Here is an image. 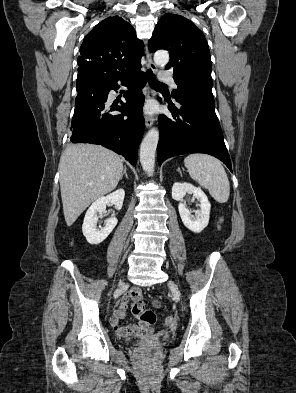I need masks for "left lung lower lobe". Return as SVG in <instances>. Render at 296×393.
<instances>
[{
	"label": "left lung lower lobe",
	"mask_w": 296,
	"mask_h": 393,
	"mask_svg": "<svg viewBox=\"0 0 296 393\" xmlns=\"http://www.w3.org/2000/svg\"><path fill=\"white\" fill-rule=\"evenodd\" d=\"M176 100L181 105L179 108L173 104L169 105L173 119L165 115H160L158 118L159 165L173 156L206 153L220 159L232 172L230 157L214 110L213 95L188 93L179 96Z\"/></svg>",
	"instance_id": "0a47b994"
}]
</instances>
